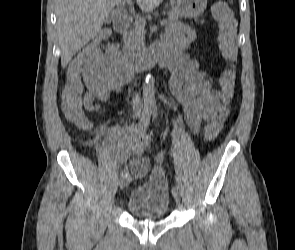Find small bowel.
<instances>
[{"mask_svg": "<svg viewBox=\"0 0 295 250\" xmlns=\"http://www.w3.org/2000/svg\"><path fill=\"white\" fill-rule=\"evenodd\" d=\"M196 37L187 26H175L168 30L161 41V48L167 52L169 87L174 98L184 110L186 123L198 133L203 122L211 123L226 119L229 110L224 104V95L217 90L199 71L198 63L187 50ZM119 50L110 45L102 52L80 51L70 62L66 77L83 78L86 91L84 105L94 109L111 100V94H118L126 82L120 81L115 73ZM116 147L123 154H133L130 162L134 176L142 177L148 171V161L143 156V138L138 131L127 129L115 140ZM162 156L159 157L161 159Z\"/></svg>", "mask_w": 295, "mask_h": 250, "instance_id": "obj_1", "label": "small bowel"}]
</instances>
